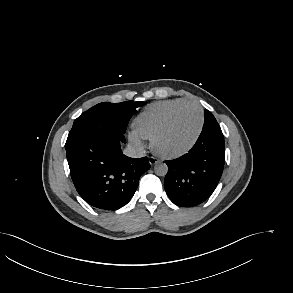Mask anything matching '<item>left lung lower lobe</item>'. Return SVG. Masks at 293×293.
<instances>
[{"label": "left lung lower lobe", "instance_id": "0a47b994", "mask_svg": "<svg viewBox=\"0 0 293 293\" xmlns=\"http://www.w3.org/2000/svg\"><path fill=\"white\" fill-rule=\"evenodd\" d=\"M224 137L219 124L203 130L185 155L165 161L168 173L164 185L169 198L181 207L204 202L215 190L224 168Z\"/></svg>", "mask_w": 293, "mask_h": 293}]
</instances>
